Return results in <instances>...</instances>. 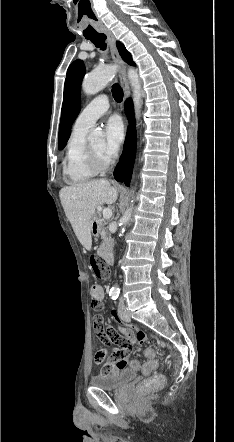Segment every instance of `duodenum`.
Segmentation results:
<instances>
[{
  "mask_svg": "<svg viewBox=\"0 0 234 442\" xmlns=\"http://www.w3.org/2000/svg\"><path fill=\"white\" fill-rule=\"evenodd\" d=\"M99 230H100V225L97 223L94 224L93 233L98 234ZM100 256L108 265H111L113 263L112 253L107 248H105V247L101 248Z\"/></svg>",
  "mask_w": 234,
  "mask_h": 442,
  "instance_id": "obj_1",
  "label": "duodenum"
}]
</instances>
